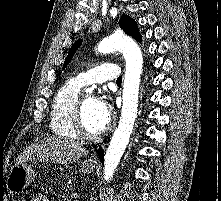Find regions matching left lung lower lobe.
I'll return each instance as SVG.
<instances>
[{
    "mask_svg": "<svg viewBox=\"0 0 221 201\" xmlns=\"http://www.w3.org/2000/svg\"><path fill=\"white\" fill-rule=\"evenodd\" d=\"M97 152H98V155H99L101 161L103 162V160H104L103 150L99 149V150H97Z\"/></svg>",
    "mask_w": 221,
    "mask_h": 201,
    "instance_id": "1",
    "label": "left lung lower lobe"
}]
</instances>
